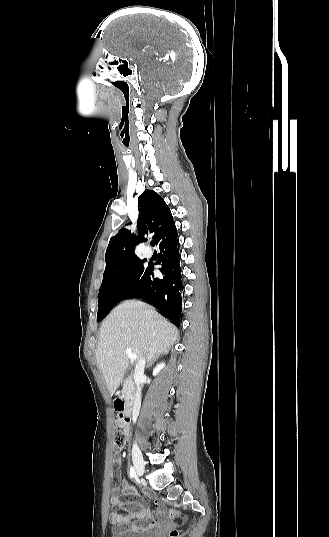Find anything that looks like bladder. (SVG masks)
<instances>
[{
  "label": "bladder",
  "instance_id": "1",
  "mask_svg": "<svg viewBox=\"0 0 329 537\" xmlns=\"http://www.w3.org/2000/svg\"><path fill=\"white\" fill-rule=\"evenodd\" d=\"M111 537H156L154 531H139V532H113Z\"/></svg>",
  "mask_w": 329,
  "mask_h": 537
}]
</instances>
